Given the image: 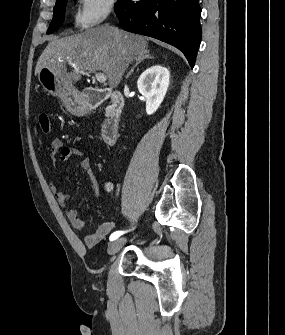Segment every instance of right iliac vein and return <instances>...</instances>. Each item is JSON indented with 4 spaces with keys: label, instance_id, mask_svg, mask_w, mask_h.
<instances>
[{
    "label": "right iliac vein",
    "instance_id": "right-iliac-vein-1",
    "mask_svg": "<svg viewBox=\"0 0 285 335\" xmlns=\"http://www.w3.org/2000/svg\"><path fill=\"white\" fill-rule=\"evenodd\" d=\"M126 242L125 238H120L116 241H113L108 248V254L109 255H114L118 253L122 247V245Z\"/></svg>",
    "mask_w": 285,
    "mask_h": 335
}]
</instances>
